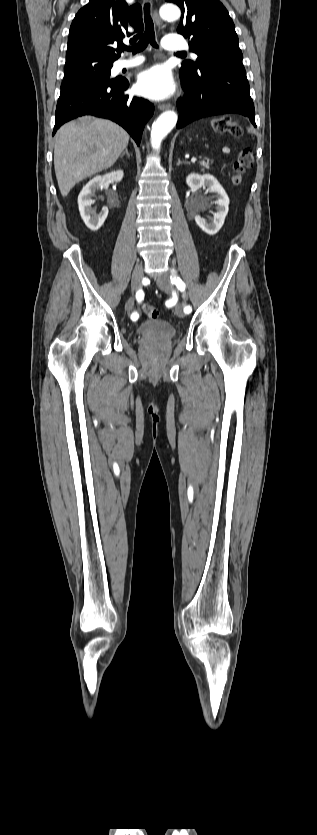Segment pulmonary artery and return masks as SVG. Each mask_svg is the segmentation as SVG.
I'll use <instances>...</instances> for the list:
<instances>
[{"label": "pulmonary artery", "mask_w": 317, "mask_h": 835, "mask_svg": "<svg viewBox=\"0 0 317 835\" xmlns=\"http://www.w3.org/2000/svg\"><path fill=\"white\" fill-rule=\"evenodd\" d=\"M162 45H163L164 49L169 50V51H173V52H180L182 50H187L188 49L187 43L184 40L180 39V37H178L177 35H167V36H165L163 38ZM192 55H193V57H197L196 54H192ZM143 61H144V59L140 56H136V57H133V58H122V59L117 61L116 68L118 70L132 68V67L140 65Z\"/></svg>", "instance_id": "1"}]
</instances>
